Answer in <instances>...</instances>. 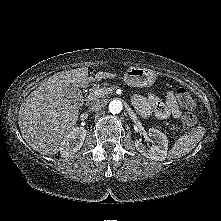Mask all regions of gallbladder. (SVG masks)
<instances>
[{"mask_svg":"<svg viewBox=\"0 0 221 221\" xmlns=\"http://www.w3.org/2000/svg\"><path fill=\"white\" fill-rule=\"evenodd\" d=\"M67 97L70 99L71 102L75 104L79 103L81 100V93L79 88L75 87L74 85H70Z\"/></svg>","mask_w":221,"mask_h":221,"instance_id":"obj_1","label":"gallbladder"}]
</instances>
